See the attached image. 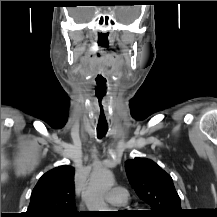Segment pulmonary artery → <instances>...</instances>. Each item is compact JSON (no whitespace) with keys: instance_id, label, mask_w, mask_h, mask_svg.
I'll return each instance as SVG.
<instances>
[{"instance_id":"1","label":"pulmonary artery","mask_w":217,"mask_h":217,"mask_svg":"<svg viewBox=\"0 0 217 217\" xmlns=\"http://www.w3.org/2000/svg\"><path fill=\"white\" fill-rule=\"evenodd\" d=\"M106 201L113 206H124L128 202L127 190L123 187H114L105 197Z\"/></svg>"}]
</instances>
